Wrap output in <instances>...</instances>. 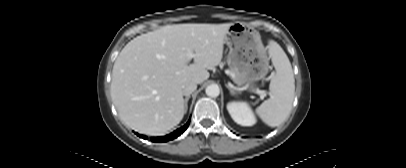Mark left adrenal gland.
I'll use <instances>...</instances> for the list:
<instances>
[{
	"label": "left adrenal gland",
	"instance_id": "1",
	"mask_svg": "<svg viewBox=\"0 0 406 168\" xmlns=\"http://www.w3.org/2000/svg\"><path fill=\"white\" fill-rule=\"evenodd\" d=\"M226 87H227L228 90L230 91V94H231V95H235V94H236V92H235L232 88H230L228 85H226Z\"/></svg>",
	"mask_w": 406,
	"mask_h": 168
}]
</instances>
